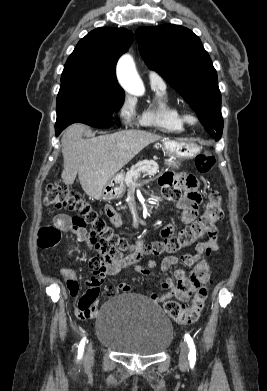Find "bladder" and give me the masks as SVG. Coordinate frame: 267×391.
Instances as JSON below:
<instances>
[{"instance_id": "1", "label": "bladder", "mask_w": 267, "mask_h": 391, "mask_svg": "<svg viewBox=\"0 0 267 391\" xmlns=\"http://www.w3.org/2000/svg\"><path fill=\"white\" fill-rule=\"evenodd\" d=\"M96 334L101 344L116 352L151 356L168 348L173 326L158 305L125 294L113 297L101 307Z\"/></svg>"}]
</instances>
